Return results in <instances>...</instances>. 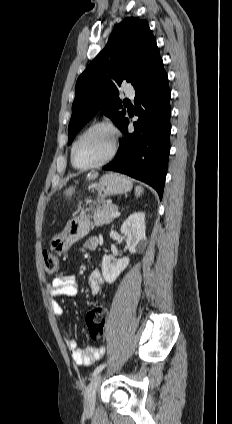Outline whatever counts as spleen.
I'll return each instance as SVG.
<instances>
[{"mask_svg":"<svg viewBox=\"0 0 232 424\" xmlns=\"http://www.w3.org/2000/svg\"><path fill=\"white\" fill-rule=\"evenodd\" d=\"M142 193H143V188L141 186H136L135 188L136 197H139Z\"/></svg>","mask_w":232,"mask_h":424,"instance_id":"3e777b00","label":"spleen"}]
</instances>
